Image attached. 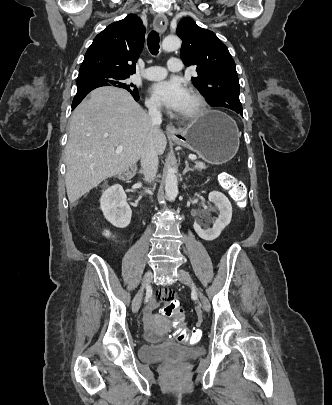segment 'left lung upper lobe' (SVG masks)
Returning a JSON list of instances; mask_svg holds the SVG:
<instances>
[{
	"label": "left lung upper lobe",
	"mask_w": 332,
	"mask_h": 405,
	"mask_svg": "<svg viewBox=\"0 0 332 405\" xmlns=\"http://www.w3.org/2000/svg\"><path fill=\"white\" fill-rule=\"evenodd\" d=\"M176 33L182 39L181 59L186 66L196 65L197 76L192 81L207 102L212 107L241 109L239 79L226 45L188 17L179 22Z\"/></svg>",
	"instance_id": "5c2ea615"
}]
</instances>
